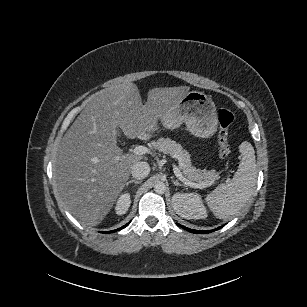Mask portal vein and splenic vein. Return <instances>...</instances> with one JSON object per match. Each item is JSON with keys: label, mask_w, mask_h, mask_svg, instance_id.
I'll return each instance as SVG.
<instances>
[{"label": "portal vein and splenic vein", "mask_w": 307, "mask_h": 307, "mask_svg": "<svg viewBox=\"0 0 307 307\" xmlns=\"http://www.w3.org/2000/svg\"><path fill=\"white\" fill-rule=\"evenodd\" d=\"M133 153L136 154V155H144V154L149 153V148L146 147V146L139 145V146H136L133 149ZM173 170H174L175 176L178 177V179L181 180L182 182H184L186 185H188L192 188H204L205 187L204 183L199 184V183H194V182L188 181L186 178L183 177L180 169L177 166H174Z\"/></svg>", "instance_id": "obj_1"}]
</instances>
